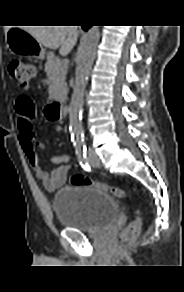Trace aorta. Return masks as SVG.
Wrapping results in <instances>:
<instances>
[{
    "label": "aorta",
    "mask_w": 184,
    "mask_h": 292,
    "mask_svg": "<svg viewBox=\"0 0 184 292\" xmlns=\"http://www.w3.org/2000/svg\"><path fill=\"white\" fill-rule=\"evenodd\" d=\"M99 37V26H92L87 31L78 51V64L76 68L75 83L69 107V120L72 127V132L75 136V141L78 144L82 143L81 116L83 111L85 87L95 58Z\"/></svg>",
    "instance_id": "1"
}]
</instances>
